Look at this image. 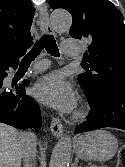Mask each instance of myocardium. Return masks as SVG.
Wrapping results in <instances>:
<instances>
[{
	"label": "myocardium",
	"instance_id": "obj_1",
	"mask_svg": "<svg viewBox=\"0 0 125 167\" xmlns=\"http://www.w3.org/2000/svg\"><path fill=\"white\" fill-rule=\"evenodd\" d=\"M84 116H85V110L83 108L77 110L74 115L75 119H82Z\"/></svg>",
	"mask_w": 125,
	"mask_h": 167
}]
</instances>
